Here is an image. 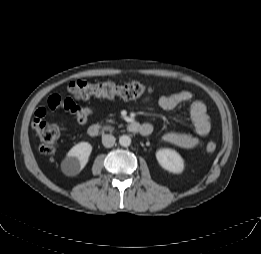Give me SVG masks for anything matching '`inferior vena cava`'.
I'll return each mask as SVG.
<instances>
[{
    "instance_id": "inferior-vena-cava-1",
    "label": "inferior vena cava",
    "mask_w": 261,
    "mask_h": 254,
    "mask_svg": "<svg viewBox=\"0 0 261 254\" xmlns=\"http://www.w3.org/2000/svg\"><path fill=\"white\" fill-rule=\"evenodd\" d=\"M115 140L113 135L106 134L102 136V144L107 148L112 147L115 144Z\"/></svg>"
}]
</instances>
